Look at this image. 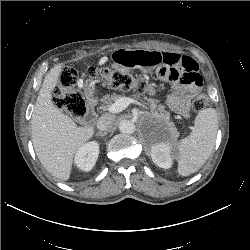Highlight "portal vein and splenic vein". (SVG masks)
I'll list each match as a JSON object with an SVG mask.
<instances>
[{
	"instance_id": "portal-vein-and-splenic-vein-1",
	"label": "portal vein and splenic vein",
	"mask_w": 250,
	"mask_h": 250,
	"mask_svg": "<svg viewBox=\"0 0 250 250\" xmlns=\"http://www.w3.org/2000/svg\"><path fill=\"white\" fill-rule=\"evenodd\" d=\"M131 103V99L128 97H121L118 100H116L114 103H112L109 107H108V111L110 113H120L123 110H125L129 104Z\"/></svg>"
}]
</instances>
